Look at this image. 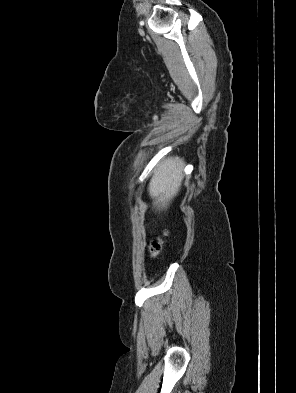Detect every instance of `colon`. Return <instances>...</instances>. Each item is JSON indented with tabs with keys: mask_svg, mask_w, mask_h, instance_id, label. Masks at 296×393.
I'll use <instances>...</instances> for the list:
<instances>
[{
	"mask_svg": "<svg viewBox=\"0 0 296 393\" xmlns=\"http://www.w3.org/2000/svg\"><path fill=\"white\" fill-rule=\"evenodd\" d=\"M150 249L152 254L156 256L161 252V244L159 242H154Z\"/></svg>",
	"mask_w": 296,
	"mask_h": 393,
	"instance_id": "5ec220e1",
	"label": "colon"
}]
</instances>
